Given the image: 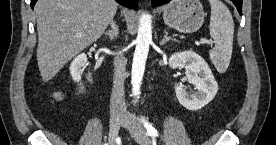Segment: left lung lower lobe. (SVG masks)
<instances>
[{
	"mask_svg": "<svg viewBox=\"0 0 276 145\" xmlns=\"http://www.w3.org/2000/svg\"><path fill=\"white\" fill-rule=\"evenodd\" d=\"M170 0H152V5L153 6H160L165 3H168ZM234 5L236 6L238 12L240 15H242V2L243 0H232Z\"/></svg>",
	"mask_w": 276,
	"mask_h": 145,
	"instance_id": "obj_1",
	"label": "left lung lower lobe"
}]
</instances>
